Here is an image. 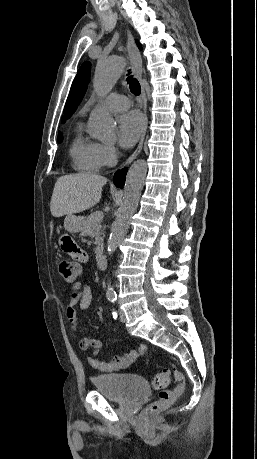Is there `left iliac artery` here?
Wrapping results in <instances>:
<instances>
[{
  "mask_svg": "<svg viewBox=\"0 0 257 459\" xmlns=\"http://www.w3.org/2000/svg\"><path fill=\"white\" fill-rule=\"evenodd\" d=\"M108 299H109L111 302L114 303V302L116 301V299H117V296L114 295V294H110V295L108 296Z\"/></svg>",
  "mask_w": 257,
  "mask_h": 459,
  "instance_id": "44dca946",
  "label": "left iliac artery"
}]
</instances>
